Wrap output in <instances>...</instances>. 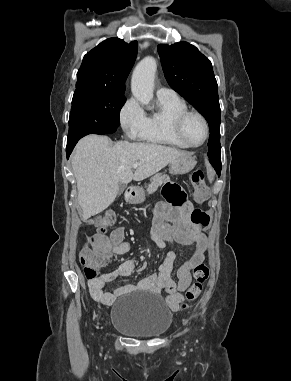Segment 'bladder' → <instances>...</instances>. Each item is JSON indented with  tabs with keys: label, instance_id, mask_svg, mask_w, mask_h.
<instances>
[{
	"label": "bladder",
	"instance_id": "obj_1",
	"mask_svg": "<svg viewBox=\"0 0 291 381\" xmlns=\"http://www.w3.org/2000/svg\"><path fill=\"white\" fill-rule=\"evenodd\" d=\"M172 321V311L157 295L127 294L111 307L112 327L134 338L162 336Z\"/></svg>",
	"mask_w": 291,
	"mask_h": 381
}]
</instances>
